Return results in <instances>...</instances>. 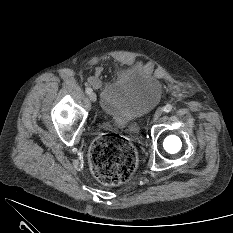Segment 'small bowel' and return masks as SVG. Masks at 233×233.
Listing matches in <instances>:
<instances>
[{"mask_svg":"<svg viewBox=\"0 0 233 233\" xmlns=\"http://www.w3.org/2000/svg\"><path fill=\"white\" fill-rule=\"evenodd\" d=\"M89 81L95 87H97L99 85V82H100L99 78L96 76L91 77Z\"/></svg>","mask_w":233,"mask_h":233,"instance_id":"c3829d8e","label":"small bowel"}]
</instances>
